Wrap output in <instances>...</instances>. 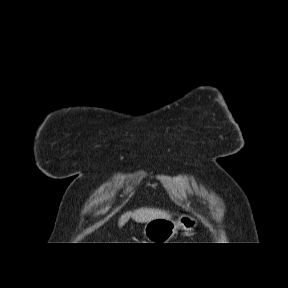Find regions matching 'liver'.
I'll use <instances>...</instances> for the list:
<instances>
[{
	"mask_svg": "<svg viewBox=\"0 0 288 288\" xmlns=\"http://www.w3.org/2000/svg\"><path fill=\"white\" fill-rule=\"evenodd\" d=\"M132 217L138 223H147L153 219L157 218H170L171 215L164 210L152 209V208H140L134 212H127L123 214L119 219V226H124Z\"/></svg>",
	"mask_w": 288,
	"mask_h": 288,
	"instance_id": "liver-1",
	"label": "liver"
}]
</instances>
